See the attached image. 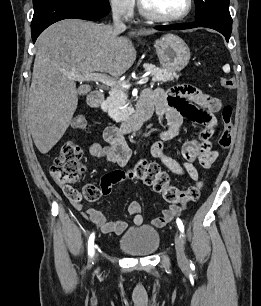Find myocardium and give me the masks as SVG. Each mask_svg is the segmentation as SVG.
Returning <instances> with one entry per match:
<instances>
[{
    "mask_svg": "<svg viewBox=\"0 0 261 306\" xmlns=\"http://www.w3.org/2000/svg\"><path fill=\"white\" fill-rule=\"evenodd\" d=\"M194 0H187V7L183 13L176 16H164L150 6L144 0H138L140 12L147 18L160 22H176L185 19L192 11Z\"/></svg>",
    "mask_w": 261,
    "mask_h": 306,
    "instance_id": "myocardium-1",
    "label": "myocardium"
}]
</instances>
